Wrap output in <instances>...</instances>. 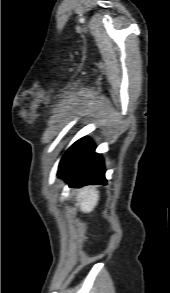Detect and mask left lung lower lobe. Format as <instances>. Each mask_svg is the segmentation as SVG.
I'll return each instance as SVG.
<instances>
[{"instance_id":"left-lung-lower-lobe-1","label":"left lung lower lobe","mask_w":170,"mask_h":293,"mask_svg":"<svg viewBox=\"0 0 170 293\" xmlns=\"http://www.w3.org/2000/svg\"><path fill=\"white\" fill-rule=\"evenodd\" d=\"M95 145L86 137L76 141L63 155L58 170L69 187L106 184L104 162Z\"/></svg>"}]
</instances>
